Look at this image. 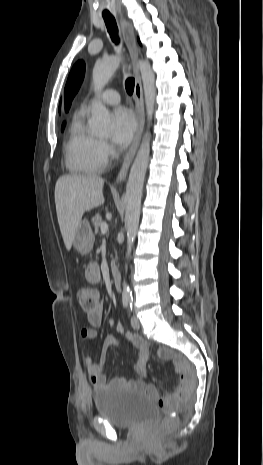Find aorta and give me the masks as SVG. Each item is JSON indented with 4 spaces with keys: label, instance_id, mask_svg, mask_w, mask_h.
<instances>
[{
    "label": "aorta",
    "instance_id": "obj_1",
    "mask_svg": "<svg viewBox=\"0 0 263 465\" xmlns=\"http://www.w3.org/2000/svg\"><path fill=\"white\" fill-rule=\"evenodd\" d=\"M120 62L121 57L115 55L96 62L92 74L95 92L99 93L104 88L119 67ZM138 66L143 83L148 129L144 133L142 143L131 167L126 186L125 221L127 226V258L131 256L139 226L142 190L150 155L151 135L149 127L153 118L156 98L155 75L150 63L147 60H140ZM89 126L92 132L96 134H108L112 130L110 113L100 101L95 102L92 106V116L89 120ZM122 301L125 303H131L132 301V292L125 281L123 283Z\"/></svg>",
    "mask_w": 263,
    "mask_h": 465
}]
</instances>
